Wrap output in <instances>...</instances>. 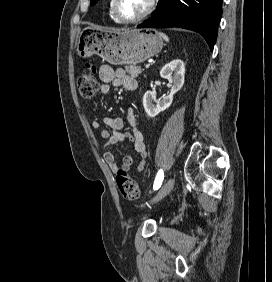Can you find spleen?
I'll return each instance as SVG.
<instances>
[{
    "instance_id": "obj_1",
    "label": "spleen",
    "mask_w": 272,
    "mask_h": 282,
    "mask_svg": "<svg viewBox=\"0 0 272 282\" xmlns=\"http://www.w3.org/2000/svg\"><path fill=\"white\" fill-rule=\"evenodd\" d=\"M165 41H169V38H168V36L166 35V34H164V33H158Z\"/></svg>"
}]
</instances>
